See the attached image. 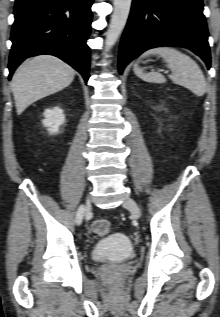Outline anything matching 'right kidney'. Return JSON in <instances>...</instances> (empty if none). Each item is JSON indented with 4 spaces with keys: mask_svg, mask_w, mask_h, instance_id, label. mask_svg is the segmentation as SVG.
Segmentation results:
<instances>
[{
    "mask_svg": "<svg viewBox=\"0 0 220 317\" xmlns=\"http://www.w3.org/2000/svg\"><path fill=\"white\" fill-rule=\"evenodd\" d=\"M45 119L42 121L43 125L48 128L50 134L57 133L59 127L65 122L63 110L59 107L46 109L44 111Z\"/></svg>",
    "mask_w": 220,
    "mask_h": 317,
    "instance_id": "right-kidney-1",
    "label": "right kidney"
}]
</instances>
